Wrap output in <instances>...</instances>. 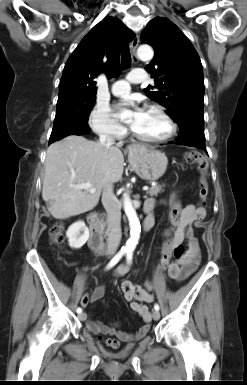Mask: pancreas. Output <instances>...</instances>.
<instances>
[{"mask_svg": "<svg viewBox=\"0 0 247 385\" xmlns=\"http://www.w3.org/2000/svg\"><path fill=\"white\" fill-rule=\"evenodd\" d=\"M162 187H164V185H154L152 186L151 188H149V190L146 192L148 195H150L151 197L153 196H157L159 193H161L163 191Z\"/></svg>", "mask_w": 247, "mask_h": 385, "instance_id": "pancreas-1", "label": "pancreas"}]
</instances>
